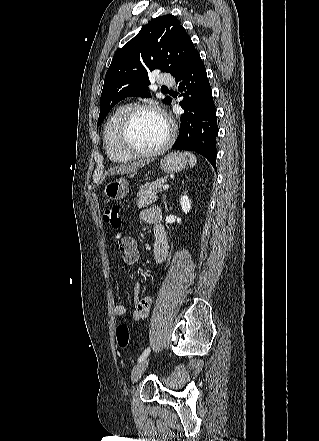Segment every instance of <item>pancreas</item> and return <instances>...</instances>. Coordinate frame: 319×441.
I'll return each instance as SVG.
<instances>
[{
  "label": "pancreas",
  "instance_id": "pancreas-1",
  "mask_svg": "<svg viewBox=\"0 0 319 441\" xmlns=\"http://www.w3.org/2000/svg\"><path fill=\"white\" fill-rule=\"evenodd\" d=\"M167 177L156 179L154 182L145 183L139 187L136 205L138 208L147 207L158 199V193L165 185Z\"/></svg>",
  "mask_w": 319,
  "mask_h": 441
}]
</instances>
